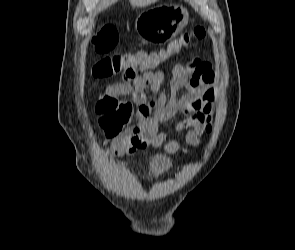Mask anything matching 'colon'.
Masks as SVG:
<instances>
[{
	"instance_id": "colon-1",
	"label": "colon",
	"mask_w": 295,
	"mask_h": 250,
	"mask_svg": "<svg viewBox=\"0 0 295 250\" xmlns=\"http://www.w3.org/2000/svg\"><path fill=\"white\" fill-rule=\"evenodd\" d=\"M206 30L202 26H196L192 31L183 33L174 38L164 49L163 53H179L187 48L194 40L205 37ZM118 42V33L113 26H104L95 34L92 44L95 52L99 54L111 51ZM150 57H142L136 60L129 54H114L102 57L92 68L95 78L105 79L125 72L129 68L139 64H145ZM96 111L100 115L99 126L106 137L112 138L119 135L124 126L130 122L133 114V106L130 102H122L117 98L105 97L96 105Z\"/></svg>"
}]
</instances>
